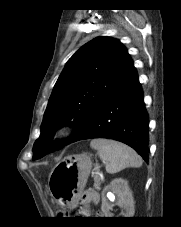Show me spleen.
<instances>
[{
	"instance_id": "1",
	"label": "spleen",
	"mask_w": 181,
	"mask_h": 227,
	"mask_svg": "<svg viewBox=\"0 0 181 227\" xmlns=\"http://www.w3.org/2000/svg\"><path fill=\"white\" fill-rule=\"evenodd\" d=\"M91 148L97 150L102 161L106 162V171L115 174L127 167H140L141 157L129 146L108 139H94Z\"/></svg>"
}]
</instances>
